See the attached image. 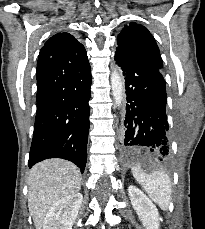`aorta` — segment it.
Instances as JSON below:
<instances>
[{"instance_id": "1", "label": "aorta", "mask_w": 205, "mask_h": 229, "mask_svg": "<svg viewBox=\"0 0 205 229\" xmlns=\"http://www.w3.org/2000/svg\"><path fill=\"white\" fill-rule=\"evenodd\" d=\"M111 87L113 98L116 105L119 107L123 99L124 80L120 71L118 70H114L111 74Z\"/></svg>"}]
</instances>
